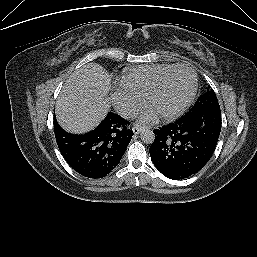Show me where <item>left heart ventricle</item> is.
Masks as SVG:
<instances>
[{"label": "left heart ventricle", "mask_w": 257, "mask_h": 257, "mask_svg": "<svg viewBox=\"0 0 257 257\" xmlns=\"http://www.w3.org/2000/svg\"><path fill=\"white\" fill-rule=\"evenodd\" d=\"M192 85V75L186 69L172 72L162 83L150 102V108L157 114L177 108L188 95Z\"/></svg>", "instance_id": "left-heart-ventricle-1"}]
</instances>
